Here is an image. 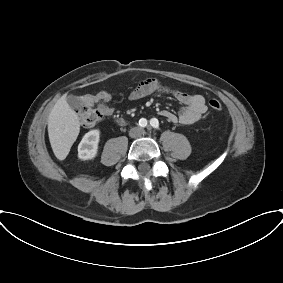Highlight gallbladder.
Returning a JSON list of instances; mask_svg holds the SVG:
<instances>
[{
    "label": "gallbladder",
    "instance_id": "gallbladder-1",
    "mask_svg": "<svg viewBox=\"0 0 283 283\" xmlns=\"http://www.w3.org/2000/svg\"><path fill=\"white\" fill-rule=\"evenodd\" d=\"M67 103H68L71 107L76 108V107H78V106L80 105L81 100H80L78 97H76V96H69V97L67 98Z\"/></svg>",
    "mask_w": 283,
    "mask_h": 283
}]
</instances>
